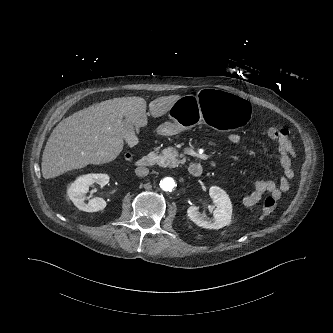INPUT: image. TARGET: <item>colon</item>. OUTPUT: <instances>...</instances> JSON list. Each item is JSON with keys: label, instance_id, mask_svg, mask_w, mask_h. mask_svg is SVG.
<instances>
[{"label": "colon", "instance_id": "obj_1", "mask_svg": "<svg viewBox=\"0 0 333 333\" xmlns=\"http://www.w3.org/2000/svg\"><path fill=\"white\" fill-rule=\"evenodd\" d=\"M282 134L281 129L276 127H270L267 130V136L270 140L277 141ZM130 158V156H129ZM276 209V200L274 197H267L262 205V213L263 215H269Z\"/></svg>", "mask_w": 333, "mask_h": 333}]
</instances>
